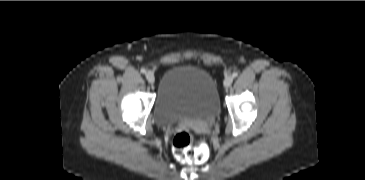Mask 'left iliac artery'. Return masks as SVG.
<instances>
[{"mask_svg":"<svg viewBox=\"0 0 365 180\" xmlns=\"http://www.w3.org/2000/svg\"><path fill=\"white\" fill-rule=\"evenodd\" d=\"M232 76L233 77H237L238 76V73L237 72H234Z\"/></svg>","mask_w":365,"mask_h":180,"instance_id":"obj_1","label":"left iliac artery"}]
</instances>
